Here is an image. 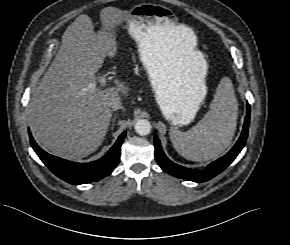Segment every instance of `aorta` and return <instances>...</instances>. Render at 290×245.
<instances>
[{
	"label": "aorta",
	"instance_id": "1",
	"mask_svg": "<svg viewBox=\"0 0 290 245\" xmlns=\"http://www.w3.org/2000/svg\"><path fill=\"white\" fill-rule=\"evenodd\" d=\"M134 129L137 134L145 136L151 132V124L148 120L140 119L136 122Z\"/></svg>",
	"mask_w": 290,
	"mask_h": 245
}]
</instances>
